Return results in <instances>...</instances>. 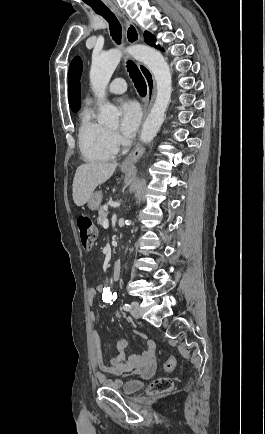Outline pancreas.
I'll return each instance as SVG.
<instances>
[{
	"label": "pancreas",
	"mask_w": 265,
	"mask_h": 434,
	"mask_svg": "<svg viewBox=\"0 0 265 434\" xmlns=\"http://www.w3.org/2000/svg\"><path fill=\"white\" fill-rule=\"evenodd\" d=\"M98 214H99V218L97 220V224H99V226H103L105 220H107V216H108L109 212H105L103 206H100V210H99Z\"/></svg>",
	"instance_id": "cf45deb5"
}]
</instances>
